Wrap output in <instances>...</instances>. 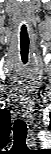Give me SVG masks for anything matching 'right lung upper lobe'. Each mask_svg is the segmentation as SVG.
Segmentation results:
<instances>
[{
	"label": "right lung upper lobe",
	"mask_w": 51,
	"mask_h": 154,
	"mask_svg": "<svg viewBox=\"0 0 51 154\" xmlns=\"http://www.w3.org/2000/svg\"><path fill=\"white\" fill-rule=\"evenodd\" d=\"M9 111H4L2 116H3V119L4 121L6 122V124L10 127V116H9Z\"/></svg>",
	"instance_id": "cb5924a9"
}]
</instances>
